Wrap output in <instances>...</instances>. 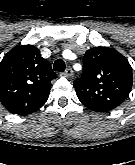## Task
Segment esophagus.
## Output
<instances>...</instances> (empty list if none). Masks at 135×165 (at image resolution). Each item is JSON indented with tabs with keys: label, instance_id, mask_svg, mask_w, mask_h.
Masks as SVG:
<instances>
[{
	"label": "esophagus",
	"instance_id": "34e87169",
	"mask_svg": "<svg viewBox=\"0 0 135 165\" xmlns=\"http://www.w3.org/2000/svg\"><path fill=\"white\" fill-rule=\"evenodd\" d=\"M63 75L66 76V77L72 76V75H73V70H72V68H71V67H68V68L64 71Z\"/></svg>",
	"mask_w": 135,
	"mask_h": 165
}]
</instances>
